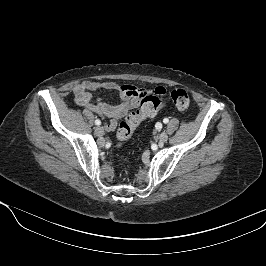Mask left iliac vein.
Returning <instances> with one entry per match:
<instances>
[{
  "instance_id": "obj_1",
  "label": "left iliac vein",
  "mask_w": 266,
  "mask_h": 266,
  "mask_svg": "<svg viewBox=\"0 0 266 266\" xmlns=\"http://www.w3.org/2000/svg\"><path fill=\"white\" fill-rule=\"evenodd\" d=\"M168 140V135L167 133L165 132H162L160 135H159V143H165L166 141Z\"/></svg>"
}]
</instances>
